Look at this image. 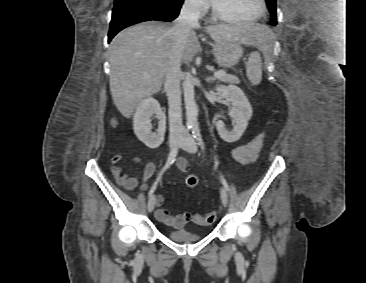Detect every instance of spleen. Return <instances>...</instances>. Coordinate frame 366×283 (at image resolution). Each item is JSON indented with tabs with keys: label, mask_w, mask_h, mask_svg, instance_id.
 I'll return each instance as SVG.
<instances>
[{
	"label": "spleen",
	"mask_w": 366,
	"mask_h": 283,
	"mask_svg": "<svg viewBox=\"0 0 366 283\" xmlns=\"http://www.w3.org/2000/svg\"><path fill=\"white\" fill-rule=\"evenodd\" d=\"M246 75L252 85H258L262 80L261 56L259 52H252L246 65Z\"/></svg>",
	"instance_id": "spleen-1"
}]
</instances>
